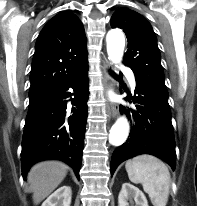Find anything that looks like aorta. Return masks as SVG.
I'll use <instances>...</instances> for the list:
<instances>
[{
  "mask_svg": "<svg viewBox=\"0 0 197 206\" xmlns=\"http://www.w3.org/2000/svg\"><path fill=\"white\" fill-rule=\"evenodd\" d=\"M106 41L109 59L115 64L120 63L125 47V38L123 33L118 29L111 30L106 36ZM128 133L129 123L125 117H120L111 127L109 142L114 146H119L126 141Z\"/></svg>",
  "mask_w": 197,
  "mask_h": 206,
  "instance_id": "762f6f07",
  "label": "aorta"
}]
</instances>
